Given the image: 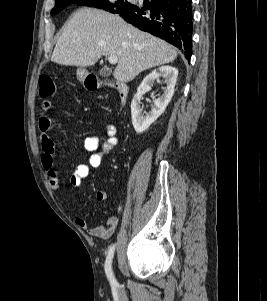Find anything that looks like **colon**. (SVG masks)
<instances>
[{"label":"colon","instance_id":"1","mask_svg":"<svg viewBox=\"0 0 267 301\" xmlns=\"http://www.w3.org/2000/svg\"><path fill=\"white\" fill-rule=\"evenodd\" d=\"M56 90L53 79L49 76H41L39 78V96L43 99L50 98Z\"/></svg>","mask_w":267,"mask_h":301}]
</instances>
